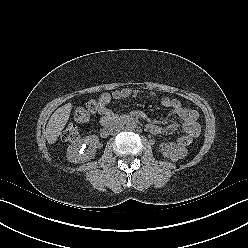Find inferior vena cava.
<instances>
[{
  "instance_id": "inferior-vena-cava-1",
  "label": "inferior vena cava",
  "mask_w": 248,
  "mask_h": 248,
  "mask_svg": "<svg viewBox=\"0 0 248 248\" xmlns=\"http://www.w3.org/2000/svg\"><path fill=\"white\" fill-rule=\"evenodd\" d=\"M121 129H122V128L119 127V128H116L115 131L117 132V131H120Z\"/></svg>"
}]
</instances>
